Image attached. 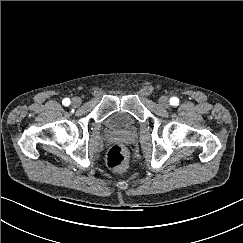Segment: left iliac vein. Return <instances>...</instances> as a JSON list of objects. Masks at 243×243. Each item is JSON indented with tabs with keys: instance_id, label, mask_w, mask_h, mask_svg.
<instances>
[{
	"instance_id": "4c4485c4",
	"label": "left iliac vein",
	"mask_w": 243,
	"mask_h": 243,
	"mask_svg": "<svg viewBox=\"0 0 243 243\" xmlns=\"http://www.w3.org/2000/svg\"><path fill=\"white\" fill-rule=\"evenodd\" d=\"M159 105L162 107V108H168L169 107V100L166 96H161L159 98Z\"/></svg>"
}]
</instances>
